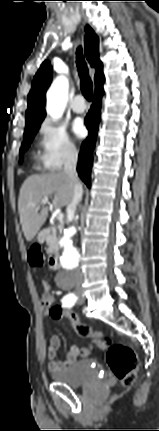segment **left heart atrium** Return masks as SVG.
Segmentation results:
<instances>
[{
  "instance_id": "left-heart-atrium-1",
  "label": "left heart atrium",
  "mask_w": 159,
  "mask_h": 431,
  "mask_svg": "<svg viewBox=\"0 0 159 431\" xmlns=\"http://www.w3.org/2000/svg\"><path fill=\"white\" fill-rule=\"evenodd\" d=\"M72 131L78 138H82L86 134V129L81 120H76L72 124Z\"/></svg>"
}]
</instances>
